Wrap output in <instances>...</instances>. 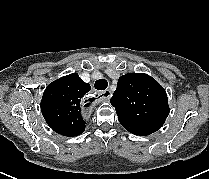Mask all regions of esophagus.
I'll use <instances>...</instances> for the list:
<instances>
[{
  "instance_id": "obj_1",
  "label": "esophagus",
  "mask_w": 209,
  "mask_h": 179,
  "mask_svg": "<svg viewBox=\"0 0 209 179\" xmlns=\"http://www.w3.org/2000/svg\"><path fill=\"white\" fill-rule=\"evenodd\" d=\"M112 96V93L110 90H105L102 92L95 94H88L85 97V102L81 104V109L83 112L81 113V118L84 121H89L92 118V113L90 112L93 107H95L98 102L104 101L109 99Z\"/></svg>"
}]
</instances>
